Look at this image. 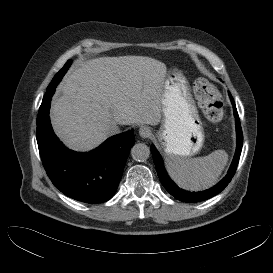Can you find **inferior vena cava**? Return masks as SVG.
Returning <instances> with one entry per match:
<instances>
[{
  "label": "inferior vena cava",
  "instance_id": "inferior-vena-cava-1",
  "mask_svg": "<svg viewBox=\"0 0 273 273\" xmlns=\"http://www.w3.org/2000/svg\"><path fill=\"white\" fill-rule=\"evenodd\" d=\"M119 132V128L116 125H112L109 129V133L111 135L117 134Z\"/></svg>",
  "mask_w": 273,
  "mask_h": 273
}]
</instances>
